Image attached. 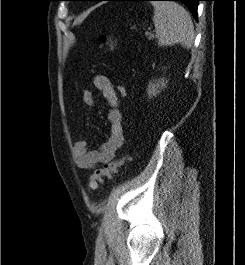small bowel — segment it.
Listing matches in <instances>:
<instances>
[{
    "label": "small bowel",
    "instance_id": "c3829d8e",
    "mask_svg": "<svg viewBox=\"0 0 245 265\" xmlns=\"http://www.w3.org/2000/svg\"><path fill=\"white\" fill-rule=\"evenodd\" d=\"M94 86L102 93L109 106L108 122L110 133L108 140L98 149H89L85 139H78L73 146V158L76 165L82 169H92L99 164L111 161L116 152L123 146V117L120 109V96L113 82L104 75H96ZM82 101L88 106H95L96 99L89 90H83Z\"/></svg>",
    "mask_w": 245,
    "mask_h": 265
}]
</instances>
